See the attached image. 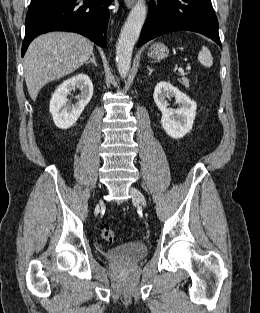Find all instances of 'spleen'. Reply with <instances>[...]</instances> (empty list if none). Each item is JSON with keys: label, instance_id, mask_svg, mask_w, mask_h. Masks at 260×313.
Instances as JSON below:
<instances>
[{"label": "spleen", "instance_id": "spleen-1", "mask_svg": "<svg viewBox=\"0 0 260 313\" xmlns=\"http://www.w3.org/2000/svg\"><path fill=\"white\" fill-rule=\"evenodd\" d=\"M198 61L205 67H211L213 64V58L209 49L205 46L202 47L198 54Z\"/></svg>", "mask_w": 260, "mask_h": 313}]
</instances>
